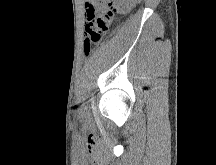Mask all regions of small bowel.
<instances>
[{
    "label": "small bowel",
    "instance_id": "1",
    "mask_svg": "<svg viewBox=\"0 0 216 165\" xmlns=\"http://www.w3.org/2000/svg\"><path fill=\"white\" fill-rule=\"evenodd\" d=\"M140 0H128L126 3V7L130 8L135 3ZM109 4V0H86V10H99L101 12L105 11L107 5Z\"/></svg>",
    "mask_w": 216,
    "mask_h": 165
}]
</instances>
